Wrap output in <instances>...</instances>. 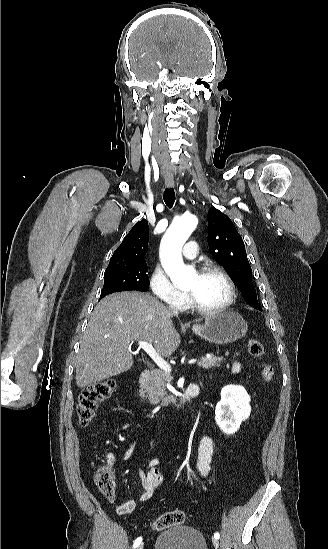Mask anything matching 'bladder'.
<instances>
[{
	"instance_id": "bladder-1",
	"label": "bladder",
	"mask_w": 328,
	"mask_h": 549,
	"mask_svg": "<svg viewBox=\"0 0 328 549\" xmlns=\"http://www.w3.org/2000/svg\"><path fill=\"white\" fill-rule=\"evenodd\" d=\"M155 549H206V542L196 528L176 526L160 533Z\"/></svg>"
}]
</instances>
